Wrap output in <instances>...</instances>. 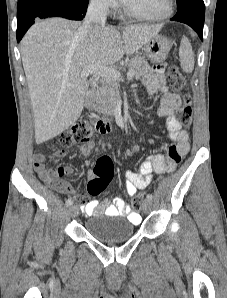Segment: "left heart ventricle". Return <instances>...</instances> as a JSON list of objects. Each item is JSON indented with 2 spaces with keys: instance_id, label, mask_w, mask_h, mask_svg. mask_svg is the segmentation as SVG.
Here are the masks:
<instances>
[{
  "instance_id": "b2bd125f",
  "label": "left heart ventricle",
  "mask_w": 227,
  "mask_h": 298,
  "mask_svg": "<svg viewBox=\"0 0 227 298\" xmlns=\"http://www.w3.org/2000/svg\"><path fill=\"white\" fill-rule=\"evenodd\" d=\"M167 0H127L125 5L133 12L146 16H154L163 13Z\"/></svg>"
}]
</instances>
